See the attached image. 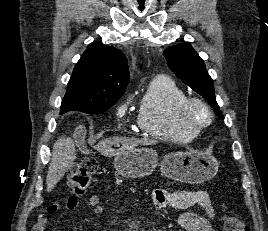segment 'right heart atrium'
Returning <instances> with one entry per match:
<instances>
[{
  "label": "right heart atrium",
  "mask_w": 268,
  "mask_h": 231,
  "mask_svg": "<svg viewBox=\"0 0 268 231\" xmlns=\"http://www.w3.org/2000/svg\"><path fill=\"white\" fill-rule=\"evenodd\" d=\"M127 109V104L126 103H122L118 109H117V115L118 117L122 118L126 112Z\"/></svg>",
  "instance_id": "right-heart-atrium-1"
}]
</instances>
